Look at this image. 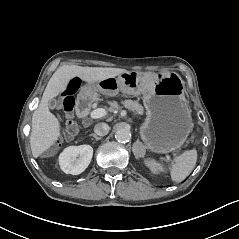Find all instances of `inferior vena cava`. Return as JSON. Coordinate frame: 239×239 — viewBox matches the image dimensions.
<instances>
[{
    "instance_id": "inferior-vena-cava-1",
    "label": "inferior vena cava",
    "mask_w": 239,
    "mask_h": 239,
    "mask_svg": "<svg viewBox=\"0 0 239 239\" xmlns=\"http://www.w3.org/2000/svg\"><path fill=\"white\" fill-rule=\"evenodd\" d=\"M94 132L98 136H106L109 133V126L106 123H98L94 127Z\"/></svg>"
}]
</instances>
